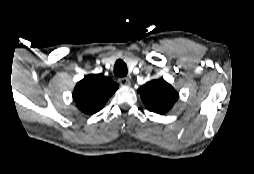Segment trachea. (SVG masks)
Wrapping results in <instances>:
<instances>
[{
  "label": "trachea",
  "instance_id": "3493384b",
  "mask_svg": "<svg viewBox=\"0 0 254 174\" xmlns=\"http://www.w3.org/2000/svg\"><path fill=\"white\" fill-rule=\"evenodd\" d=\"M127 72L126 63L122 60H117L114 66V75L117 77H125Z\"/></svg>",
  "mask_w": 254,
  "mask_h": 174
}]
</instances>
